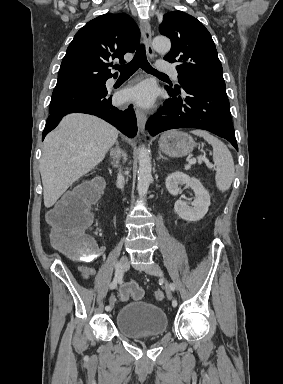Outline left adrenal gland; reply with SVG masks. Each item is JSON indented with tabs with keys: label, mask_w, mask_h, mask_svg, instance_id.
Returning <instances> with one entry per match:
<instances>
[{
	"label": "left adrenal gland",
	"mask_w": 283,
	"mask_h": 384,
	"mask_svg": "<svg viewBox=\"0 0 283 384\" xmlns=\"http://www.w3.org/2000/svg\"><path fill=\"white\" fill-rule=\"evenodd\" d=\"M158 154H159V158H157V160H161V158L162 160H167V158H164V156H162L160 150H158Z\"/></svg>",
	"instance_id": "a2214340"
}]
</instances>
